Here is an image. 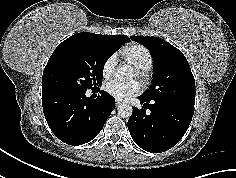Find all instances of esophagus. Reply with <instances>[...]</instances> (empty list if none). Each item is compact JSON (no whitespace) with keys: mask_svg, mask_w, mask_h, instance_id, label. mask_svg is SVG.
Returning <instances> with one entry per match:
<instances>
[{"mask_svg":"<svg viewBox=\"0 0 236 178\" xmlns=\"http://www.w3.org/2000/svg\"><path fill=\"white\" fill-rule=\"evenodd\" d=\"M115 103H116L117 106H119L122 102L119 101V100H116Z\"/></svg>","mask_w":236,"mask_h":178,"instance_id":"34e87169","label":"esophagus"}]
</instances>
